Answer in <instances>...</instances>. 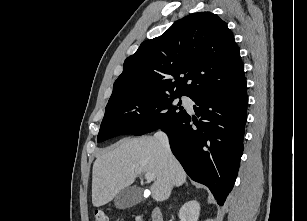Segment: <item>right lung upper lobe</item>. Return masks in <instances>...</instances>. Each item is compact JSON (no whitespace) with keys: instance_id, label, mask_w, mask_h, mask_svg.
<instances>
[{"instance_id":"obj_1","label":"right lung upper lobe","mask_w":307,"mask_h":221,"mask_svg":"<svg viewBox=\"0 0 307 221\" xmlns=\"http://www.w3.org/2000/svg\"><path fill=\"white\" fill-rule=\"evenodd\" d=\"M245 82L231 30L217 15L199 12L143 42L125 60L108 104L145 93L186 95L193 100L237 89Z\"/></svg>"}]
</instances>
